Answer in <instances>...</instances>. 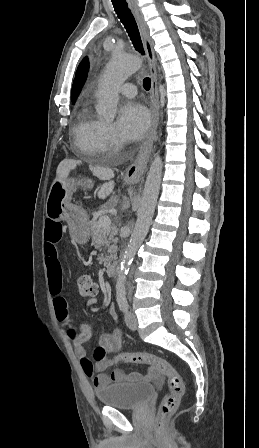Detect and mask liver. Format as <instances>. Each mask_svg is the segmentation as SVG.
<instances>
[{"mask_svg":"<svg viewBox=\"0 0 259 448\" xmlns=\"http://www.w3.org/2000/svg\"><path fill=\"white\" fill-rule=\"evenodd\" d=\"M77 164H82L81 160H66V162H61L57 170L59 178H67L68 172H70V170H74ZM111 188H113V184Z\"/></svg>","mask_w":259,"mask_h":448,"instance_id":"obj_1","label":"liver"}]
</instances>
